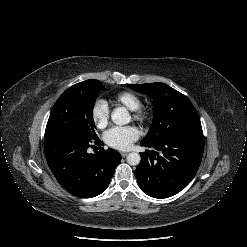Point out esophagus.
Instances as JSON below:
<instances>
[{"instance_id":"obj_1","label":"esophagus","mask_w":247,"mask_h":247,"mask_svg":"<svg viewBox=\"0 0 247 247\" xmlns=\"http://www.w3.org/2000/svg\"><path fill=\"white\" fill-rule=\"evenodd\" d=\"M128 155V152H121L122 157H126Z\"/></svg>"}]
</instances>
